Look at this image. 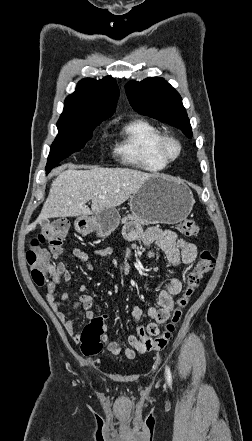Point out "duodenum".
<instances>
[{
  "label": "duodenum",
  "instance_id": "410a0bca",
  "mask_svg": "<svg viewBox=\"0 0 252 441\" xmlns=\"http://www.w3.org/2000/svg\"><path fill=\"white\" fill-rule=\"evenodd\" d=\"M84 224L87 225V222L85 221Z\"/></svg>",
  "mask_w": 252,
  "mask_h": 441
}]
</instances>
